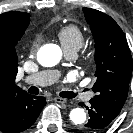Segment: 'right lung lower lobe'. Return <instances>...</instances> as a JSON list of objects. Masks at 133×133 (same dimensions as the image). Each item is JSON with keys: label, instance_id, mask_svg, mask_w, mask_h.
I'll use <instances>...</instances> for the list:
<instances>
[{"label": "right lung lower lobe", "instance_id": "obj_1", "mask_svg": "<svg viewBox=\"0 0 133 133\" xmlns=\"http://www.w3.org/2000/svg\"><path fill=\"white\" fill-rule=\"evenodd\" d=\"M45 104L44 97L31 96L26 92L14 97L0 112V131L19 133L28 129L36 121Z\"/></svg>", "mask_w": 133, "mask_h": 133}]
</instances>
